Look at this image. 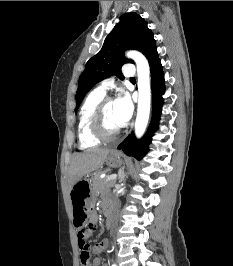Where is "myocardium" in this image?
Here are the masks:
<instances>
[{
	"instance_id": "1",
	"label": "myocardium",
	"mask_w": 233,
	"mask_h": 266,
	"mask_svg": "<svg viewBox=\"0 0 233 266\" xmlns=\"http://www.w3.org/2000/svg\"><path fill=\"white\" fill-rule=\"evenodd\" d=\"M113 98L105 96L95 107L92 118L90 129L92 135L100 141H111L117 138L121 132L120 128L108 132L104 125V111L108 103L113 102Z\"/></svg>"
}]
</instances>
